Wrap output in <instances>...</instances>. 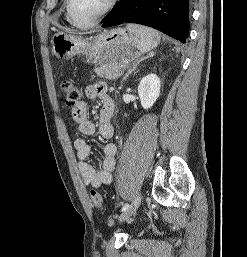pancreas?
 Wrapping results in <instances>:
<instances>
[{
  "instance_id": "cf45deb5",
  "label": "pancreas",
  "mask_w": 247,
  "mask_h": 257,
  "mask_svg": "<svg viewBox=\"0 0 247 257\" xmlns=\"http://www.w3.org/2000/svg\"><path fill=\"white\" fill-rule=\"evenodd\" d=\"M98 77L114 80L122 74V66L116 63H102L95 69Z\"/></svg>"
}]
</instances>
